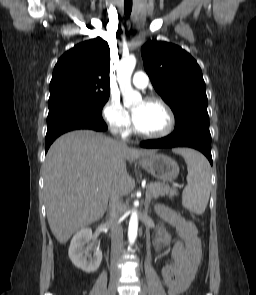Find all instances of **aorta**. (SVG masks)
<instances>
[{"mask_svg":"<svg viewBox=\"0 0 256 295\" xmlns=\"http://www.w3.org/2000/svg\"><path fill=\"white\" fill-rule=\"evenodd\" d=\"M136 65V59L133 56L123 58L117 69V80L123 96L125 106H131L141 101L142 97L138 91H135L131 85V75ZM138 232V214L132 210L128 227V240L133 245Z\"/></svg>","mask_w":256,"mask_h":295,"instance_id":"obj_1","label":"aorta"}]
</instances>
